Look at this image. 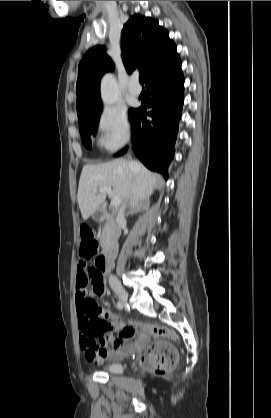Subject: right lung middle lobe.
Segmentation results:
<instances>
[{"instance_id": "1", "label": "right lung middle lobe", "mask_w": 271, "mask_h": 418, "mask_svg": "<svg viewBox=\"0 0 271 418\" xmlns=\"http://www.w3.org/2000/svg\"><path fill=\"white\" fill-rule=\"evenodd\" d=\"M135 110L136 109L129 110L130 118L134 114ZM101 112L102 105L92 109L86 114L78 116L79 129L82 136V141L85 147L87 148H91V134H95L97 130Z\"/></svg>"}]
</instances>
